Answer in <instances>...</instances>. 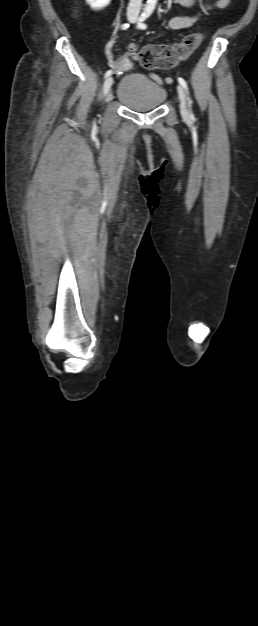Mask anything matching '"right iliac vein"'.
<instances>
[{"label":"right iliac vein","mask_w":258,"mask_h":626,"mask_svg":"<svg viewBox=\"0 0 258 626\" xmlns=\"http://www.w3.org/2000/svg\"><path fill=\"white\" fill-rule=\"evenodd\" d=\"M129 20L131 22H133L134 18L130 17ZM112 84H113V77H111V76L107 77L106 80L104 81V85H103V92H104L105 99H107V97H108V94H109V91L111 89Z\"/></svg>","instance_id":"right-iliac-vein-1"}]
</instances>
